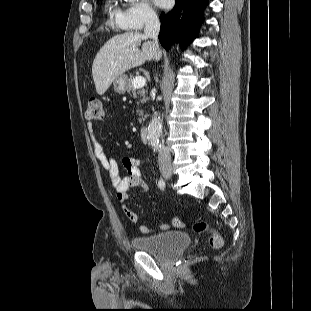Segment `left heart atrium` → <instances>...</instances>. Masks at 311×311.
Wrapping results in <instances>:
<instances>
[{
  "mask_svg": "<svg viewBox=\"0 0 311 311\" xmlns=\"http://www.w3.org/2000/svg\"><path fill=\"white\" fill-rule=\"evenodd\" d=\"M153 2L159 7H166L170 0H153Z\"/></svg>",
  "mask_w": 311,
  "mask_h": 311,
  "instance_id": "obj_1",
  "label": "left heart atrium"
}]
</instances>
